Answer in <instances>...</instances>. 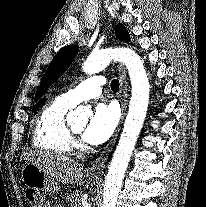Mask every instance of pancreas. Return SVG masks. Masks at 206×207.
<instances>
[{
  "mask_svg": "<svg viewBox=\"0 0 206 207\" xmlns=\"http://www.w3.org/2000/svg\"><path fill=\"white\" fill-rule=\"evenodd\" d=\"M81 193L80 192H72L67 196L66 201L69 207H80L81 204ZM56 207H63L62 205Z\"/></svg>",
  "mask_w": 206,
  "mask_h": 207,
  "instance_id": "1",
  "label": "pancreas"
}]
</instances>
